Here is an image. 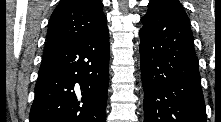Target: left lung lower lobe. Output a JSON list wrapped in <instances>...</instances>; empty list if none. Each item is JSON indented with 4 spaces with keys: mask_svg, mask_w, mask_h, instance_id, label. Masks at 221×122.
<instances>
[{
    "mask_svg": "<svg viewBox=\"0 0 221 122\" xmlns=\"http://www.w3.org/2000/svg\"><path fill=\"white\" fill-rule=\"evenodd\" d=\"M144 122H206L189 19L178 0H151L141 18Z\"/></svg>",
    "mask_w": 221,
    "mask_h": 122,
    "instance_id": "left-lung-lower-lobe-1",
    "label": "left lung lower lobe"
}]
</instances>
